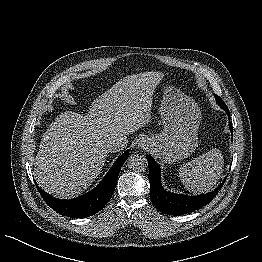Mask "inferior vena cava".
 <instances>
[{
    "instance_id": "obj_1",
    "label": "inferior vena cava",
    "mask_w": 262,
    "mask_h": 262,
    "mask_svg": "<svg viewBox=\"0 0 262 262\" xmlns=\"http://www.w3.org/2000/svg\"><path fill=\"white\" fill-rule=\"evenodd\" d=\"M127 146V140L126 139H116L108 143V150L109 152H116L123 150Z\"/></svg>"
}]
</instances>
